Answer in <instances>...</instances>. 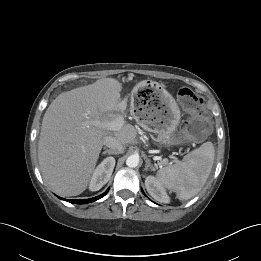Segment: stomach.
<instances>
[{"instance_id": "obj_1", "label": "stomach", "mask_w": 261, "mask_h": 261, "mask_svg": "<svg viewBox=\"0 0 261 261\" xmlns=\"http://www.w3.org/2000/svg\"><path fill=\"white\" fill-rule=\"evenodd\" d=\"M147 90V98L136 97L135 119L143 129L157 135L160 145L169 147L174 144L173 135L180 123V108L164 85L151 81Z\"/></svg>"}]
</instances>
